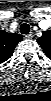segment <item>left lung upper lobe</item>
<instances>
[{"label":"left lung upper lobe","mask_w":51,"mask_h":101,"mask_svg":"<svg viewBox=\"0 0 51 101\" xmlns=\"http://www.w3.org/2000/svg\"><path fill=\"white\" fill-rule=\"evenodd\" d=\"M37 42L43 48L46 55L51 57V31L43 32V35L37 39Z\"/></svg>","instance_id":"left-lung-upper-lobe-1"}]
</instances>
